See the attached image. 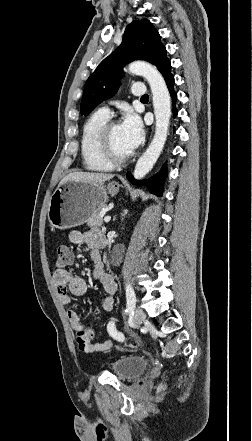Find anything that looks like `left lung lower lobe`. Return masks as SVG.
I'll return each instance as SVG.
<instances>
[{"label":"left lung lower lobe","instance_id":"0a47b994","mask_svg":"<svg viewBox=\"0 0 252 441\" xmlns=\"http://www.w3.org/2000/svg\"><path fill=\"white\" fill-rule=\"evenodd\" d=\"M156 67L162 73V75L166 81L167 87L169 89V92H170V95L172 98L173 107H174L173 108V116L175 117L177 115V110L175 108L177 94L173 88L174 77L170 71L171 70V63L166 56V50H164L162 52L161 56L159 57ZM166 174H167V171L164 167L158 175L152 177L149 181H135L133 176L130 173H127V179L138 186H142L143 184H145L146 186L150 187V191L153 194H156L157 196H162V193H163L162 187H163V182L165 180Z\"/></svg>","mask_w":252,"mask_h":441}]
</instances>
